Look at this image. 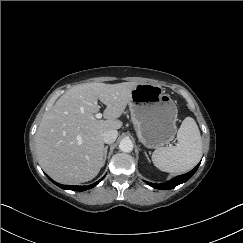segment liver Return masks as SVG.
Listing matches in <instances>:
<instances>
[{"mask_svg": "<svg viewBox=\"0 0 243 243\" xmlns=\"http://www.w3.org/2000/svg\"><path fill=\"white\" fill-rule=\"evenodd\" d=\"M135 82L86 83L66 91L46 112L35 134L39 163L55 181L79 184L92 180L104 166L103 133L122 127L118 118L131 99ZM98 100L105 120L95 117Z\"/></svg>", "mask_w": 243, "mask_h": 243, "instance_id": "6515ba94", "label": "liver"}]
</instances>
